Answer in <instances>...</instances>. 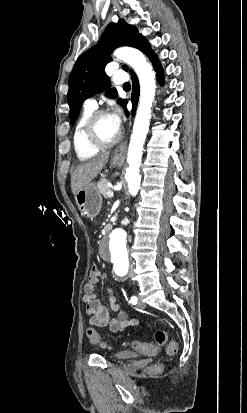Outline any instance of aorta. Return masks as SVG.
I'll return each instance as SVG.
<instances>
[{"label": "aorta", "mask_w": 247, "mask_h": 413, "mask_svg": "<svg viewBox=\"0 0 247 413\" xmlns=\"http://www.w3.org/2000/svg\"><path fill=\"white\" fill-rule=\"evenodd\" d=\"M114 55L134 69L140 84L139 105L130 139L127 156L129 166L126 170L128 190L132 196H136L141 183L139 167L143 154V145L149 130L151 107L155 97V73L152 70V66L146 61L145 56L137 49L121 47L115 50ZM112 238L116 242V247H114L112 252V259L116 272L122 275L128 271L129 267L128 253L124 241L125 233L122 230H115Z\"/></svg>", "instance_id": "aorta-1"}]
</instances>
